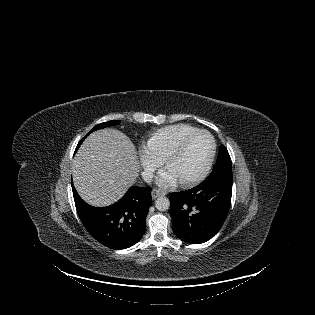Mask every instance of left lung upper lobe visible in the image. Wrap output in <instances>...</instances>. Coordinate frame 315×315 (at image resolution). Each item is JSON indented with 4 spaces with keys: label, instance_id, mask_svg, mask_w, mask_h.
<instances>
[{
    "label": "left lung upper lobe",
    "instance_id": "left-lung-upper-lobe-1",
    "mask_svg": "<svg viewBox=\"0 0 315 315\" xmlns=\"http://www.w3.org/2000/svg\"><path fill=\"white\" fill-rule=\"evenodd\" d=\"M224 181L233 182V176L230 155L227 149L221 145L213 171L210 176L204 180V182L217 184Z\"/></svg>",
    "mask_w": 315,
    "mask_h": 315
}]
</instances>
